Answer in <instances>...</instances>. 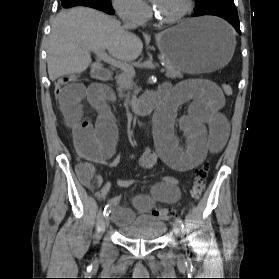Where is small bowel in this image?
<instances>
[{
	"mask_svg": "<svg viewBox=\"0 0 279 279\" xmlns=\"http://www.w3.org/2000/svg\"><path fill=\"white\" fill-rule=\"evenodd\" d=\"M112 91L101 84L88 87L80 83L66 85L58 101L65 123L70 129L78 154L86 161L76 166L80 183L95 192L98 199L105 197L108 187L101 190L102 177L95 175L94 164L114 167L119 162L116 154L118 132L116 120L109 109ZM157 99L160 105L154 115L155 148L148 149L139 159V165L149 169L161 159L178 171H189L201 164L208 153H217L225 146L229 136V124L221 112L224 96L219 87L208 80H187L174 88L163 85ZM100 111L95 124L87 120L84 101ZM189 103L187 114L179 119V126L186 145L181 147L174 135L173 125L178 108ZM119 187L127 188L132 182L117 179ZM179 182L170 176L161 177L149 194L134 197L137 212L148 213L157 202L176 203L180 199ZM122 196L109 200L114 219L125 225L135 218V212L120 206Z\"/></svg>",
	"mask_w": 279,
	"mask_h": 279,
	"instance_id": "small-bowel-1",
	"label": "small bowel"
}]
</instances>
